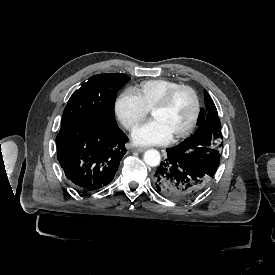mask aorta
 Here are the masks:
<instances>
[{
    "label": "aorta",
    "mask_w": 275,
    "mask_h": 275,
    "mask_svg": "<svg viewBox=\"0 0 275 275\" xmlns=\"http://www.w3.org/2000/svg\"><path fill=\"white\" fill-rule=\"evenodd\" d=\"M144 161L150 167H156L160 164L161 157L157 150L150 149L144 153Z\"/></svg>",
    "instance_id": "aorta-1"
}]
</instances>
